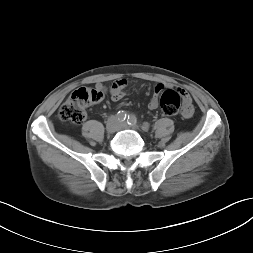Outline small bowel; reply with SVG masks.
<instances>
[{"label": "small bowel", "instance_id": "obj_1", "mask_svg": "<svg viewBox=\"0 0 253 253\" xmlns=\"http://www.w3.org/2000/svg\"><path fill=\"white\" fill-rule=\"evenodd\" d=\"M128 84L126 79H119L113 82L110 88V95L114 101H119L123 98L124 87ZM97 89L106 91L105 87L102 84H97ZM167 85L164 83H158L154 87L153 95L148 103V108L150 110H155L159 107V95L166 88ZM174 90L178 91L182 97L183 107L181 108V116L184 119L192 118L195 115V108L192 106V99L185 90L181 88H174Z\"/></svg>", "mask_w": 253, "mask_h": 253}]
</instances>
